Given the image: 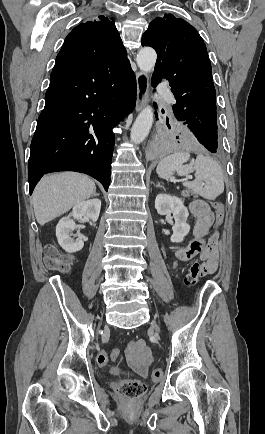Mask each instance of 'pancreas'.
<instances>
[{
    "instance_id": "pancreas-1",
    "label": "pancreas",
    "mask_w": 265,
    "mask_h": 434,
    "mask_svg": "<svg viewBox=\"0 0 265 434\" xmlns=\"http://www.w3.org/2000/svg\"><path fill=\"white\" fill-rule=\"evenodd\" d=\"M182 196H184V198H189V196H193V198H198L196 192H193V190H185V192H182Z\"/></svg>"
}]
</instances>
